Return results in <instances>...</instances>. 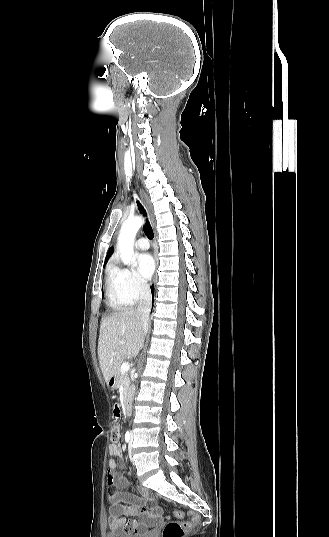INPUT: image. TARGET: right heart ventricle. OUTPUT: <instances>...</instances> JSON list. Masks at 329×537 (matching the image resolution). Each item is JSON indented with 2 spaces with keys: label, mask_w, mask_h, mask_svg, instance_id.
<instances>
[{
  "label": "right heart ventricle",
  "mask_w": 329,
  "mask_h": 537,
  "mask_svg": "<svg viewBox=\"0 0 329 537\" xmlns=\"http://www.w3.org/2000/svg\"><path fill=\"white\" fill-rule=\"evenodd\" d=\"M106 295L109 306L114 310H121L133 303L127 300L117 289L114 269H111L107 275Z\"/></svg>",
  "instance_id": "obj_1"
}]
</instances>
